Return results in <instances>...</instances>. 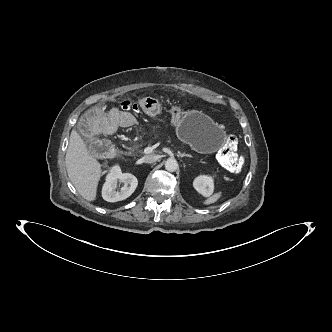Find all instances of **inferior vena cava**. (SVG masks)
Here are the masks:
<instances>
[{"mask_svg":"<svg viewBox=\"0 0 332 332\" xmlns=\"http://www.w3.org/2000/svg\"><path fill=\"white\" fill-rule=\"evenodd\" d=\"M158 158L159 157L157 155L149 154V155H145L143 157V160L145 163H153V162L157 161Z\"/></svg>","mask_w":332,"mask_h":332,"instance_id":"obj_1","label":"inferior vena cava"}]
</instances>
